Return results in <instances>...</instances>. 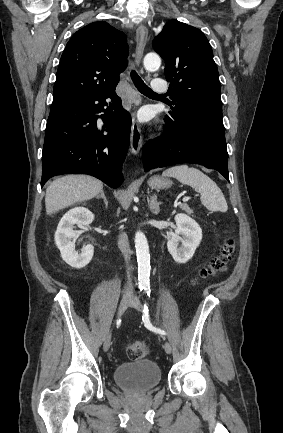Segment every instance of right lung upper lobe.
<instances>
[{
  "label": "right lung upper lobe",
  "mask_w": 283,
  "mask_h": 433,
  "mask_svg": "<svg viewBox=\"0 0 283 433\" xmlns=\"http://www.w3.org/2000/svg\"><path fill=\"white\" fill-rule=\"evenodd\" d=\"M128 55L126 35L105 21L77 31L61 56L51 108L114 90Z\"/></svg>",
  "instance_id": "cb5924a9"
}]
</instances>
